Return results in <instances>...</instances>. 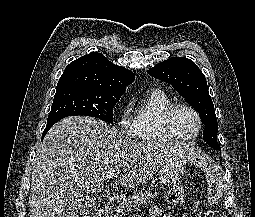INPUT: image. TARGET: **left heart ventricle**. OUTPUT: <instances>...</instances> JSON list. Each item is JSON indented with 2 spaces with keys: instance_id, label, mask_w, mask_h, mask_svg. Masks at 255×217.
I'll return each mask as SVG.
<instances>
[{
  "instance_id": "1",
  "label": "left heart ventricle",
  "mask_w": 255,
  "mask_h": 217,
  "mask_svg": "<svg viewBox=\"0 0 255 217\" xmlns=\"http://www.w3.org/2000/svg\"><path fill=\"white\" fill-rule=\"evenodd\" d=\"M173 125L178 133L192 135L195 133L198 122L195 115L186 108H178L173 116Z\"/></svg>"
}]
</instances>
